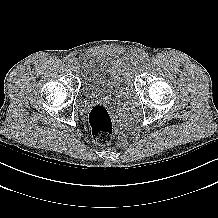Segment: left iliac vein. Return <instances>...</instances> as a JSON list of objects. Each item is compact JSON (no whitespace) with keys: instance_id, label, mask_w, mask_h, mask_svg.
Here are the masks:
<instances>
[{"instance_id":"left-iliac-vein-1","label":"left iliac vein","mask_w":218,"mask_h":218,"mask_svg":"<svg viewBox=\"0 0 218 218\" xmlns=\"http://www.w3.org/2000/svg\"><path fill=\"white\" fill-rule=\"evenodd\" d=\"M140 62H142V61H140ZM138 64H139V63H137V62L132 63V68H137V66H139Z\"/></svg>"}]
</instances>
